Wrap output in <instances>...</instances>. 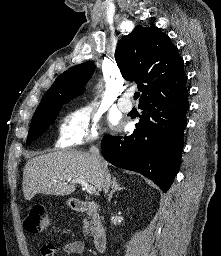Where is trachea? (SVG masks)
<instances>
[{
  "instance_id": "trachea-1",
  "label": "trachea",
  "mask_w": 221,
  "mask_h": 256,
  "mask_svg": "<svg viewBox=\"0 0 221 256\" xmlns=\"http://www.w3.org/2000/svg\"><path fill=\"white\" fill-rule=\"evenodd\" d=\"M139 96H140V92H135V94H134V99H138Z\"/></svg>"
}]
</instances>
